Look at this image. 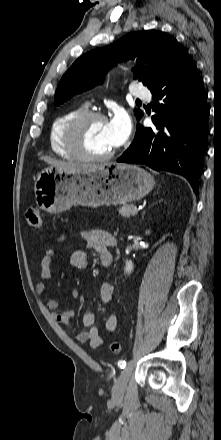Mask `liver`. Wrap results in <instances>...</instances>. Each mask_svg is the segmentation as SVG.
Here are the masks:
<instances>
[{"instance_id":"6515ba94","label":"liver","mask_w":221,"mask_h":440,"mask_svg":"<svg viewBox=\"0 0 221 440\" xmlns=\"http://www.w3.org/2000/svg\"><path fill=\"white\" fill-rule=\"evenodd\" d=\"M41 159L57 169L71 171V172H81L98 166L97 164L57 161L46 156L42 157Z\"/></svg>"}]
</instances>
